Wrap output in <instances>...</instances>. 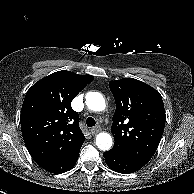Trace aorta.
<instances>
[{
	"mask_svg": "<svg viewBox=\"0 0 194 194\" xmlns=\"http://www.w3.org/2000/svg\"><path fill=\"white\" fill-rule=\"evenodd\" d=\"M85 99L90 110L100 112L106 107L105 99L99 92H88ZM96 145L100 150H109L112 146V137L108 133L101 132L96 137Z\"/></svg>",
	"mask_w": 194,
	"mask_h": 194,
	"instance_id": "obj_1",
	"label": "aorta"
}]
</instances>
